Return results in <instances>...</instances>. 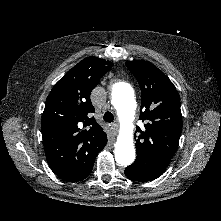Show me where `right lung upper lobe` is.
<instances>
[{"label": "right lung upper lobe", "mask_w": 221, "mask_h": 221, "mask_svg": "<svg viewBox=\"0 0 221 221\" xmlns=\"http://www.w3.org/2000/svg\"><path fill=\"white\" fill-rule=\"evenodd\" d=\"M112 63L87 57L53 87L45 103L41 130L47 161L61 179H85L97 154L107 143L106 133L91 113V91Z\"/></svg>", "instance_id": "1"}]
</instances>
